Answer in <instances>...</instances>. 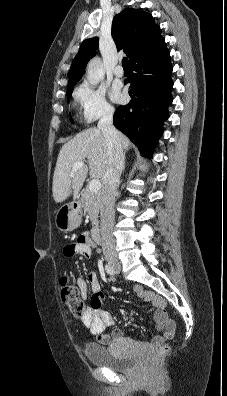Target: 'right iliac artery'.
I'll return each mask as SVG.
<instances>
[{
    "label": "right iliac artery",
    "instance_id": "obj_1",
    "mask_svg": "<svg viewBox=\"0 0 227 396\" xmlns=\"http://www.w3.org/2000/svg\"><path fill=\"white\" fill-rule=\"evenodd\" d=\"M105 270H106L107 274H109V275H114V273H115L113 268L110 265H105Z\"/></svg>",
    "mask_w": 227,
    "mask_h": 396
}]
</instances>
